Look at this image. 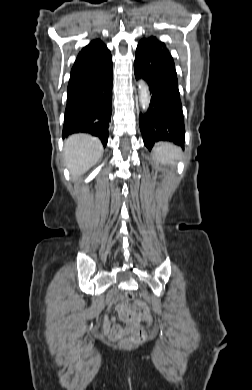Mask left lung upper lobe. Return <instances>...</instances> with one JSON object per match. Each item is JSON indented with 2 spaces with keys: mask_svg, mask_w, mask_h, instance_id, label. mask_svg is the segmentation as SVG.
I'll list each match as a JSON object with an SVG mask.
<instances>
[{
  "mask_svg": "<svg viewBox=\"0 0 252 390\" xmlns=\"http://www.w3.org/2000/svg\"><path fill=\"white\" fill-rule=\"evenodd\" d=\"M142 40H147L153 43H156L158 46H160L163 50L169 53V50L166 48L165 44L158 41L155 37L151 36L149 38H143Z\"/></svg>",
  "mask_w": 252,
  "mask_h": 390,
  "instance_id": "1",
  "label": "left lung upper lobe"
}]
</instances>
